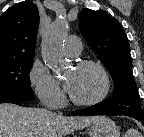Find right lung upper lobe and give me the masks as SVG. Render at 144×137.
<instances>
[{
    "label": "right lung upper lobe",
    "mask_w": 144,
    "mask_h": 137,
    "mask_svg": "<svg viewBox=\"0 0 144 137\" xmlns=\"http://www.w3.org/2000/svg\"><path fill=\"white\" fill-rule=\"evenodd\" d=\"M39 13L31 1L10 7L0 16V62L34 57Z\"/></svg>",
    "instance_id": "right-lung-upper-lobe-1"
}]
</instances>
